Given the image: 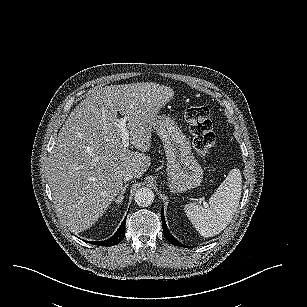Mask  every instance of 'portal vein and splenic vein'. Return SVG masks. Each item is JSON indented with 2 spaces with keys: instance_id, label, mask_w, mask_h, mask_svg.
<instances>
[{
  "instance_id": "portal-vein-and-splenic-vein-1",
  "label": "portal vein and splenic vein",
  "mask_w": 307,
  "mask_h": 307,
  "mask_svg": "<svg viewBox=\"0 0 307 307\" xmlns=\"http://www.w3.org/2000/svg\"><path fill=\"white\" fill-rule=\"evenodd\" d=\"M118 128L121 131V142L122 145L124 147V149H129L130 147V143H129V131L126 127V119H122V120H117V122L115 123ZM206 205V204H204Z\"/></svg>"
}]
</instances>
